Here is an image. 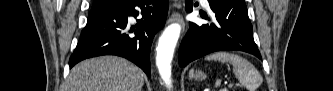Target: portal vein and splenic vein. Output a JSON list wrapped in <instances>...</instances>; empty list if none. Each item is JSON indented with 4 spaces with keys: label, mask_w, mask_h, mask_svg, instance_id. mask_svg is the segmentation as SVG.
Here are the masks:
<instances>
[{
    "label": "portal vein and splenic vein",
    "mask_w": 333,
    "mask_h": 91,
    "mask_svg": "<svg viewBox=\"0 0 333 91\" xmlns=\"http://www.w3.org/2000/svg\"><path fill=\"white\" fill-rule=\"evenodd\" d=\"M221 84V80H218L217 82H216V86H219ZM229 86H232V84H229Z\"/></svg>",
    "instance_id": "18ae733b"
}]
</instances>
